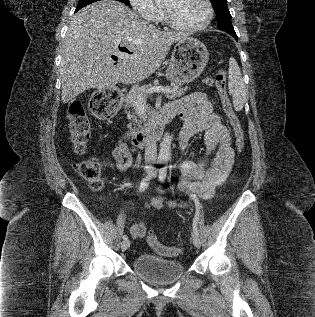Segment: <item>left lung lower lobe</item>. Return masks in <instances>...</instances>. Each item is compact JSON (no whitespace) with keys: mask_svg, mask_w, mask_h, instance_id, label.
Returning <instances> with one entry per match:
<instances>
[{"mask_svg":"<svg viewBox=\"0 0 315 317\" xmlns=\"http://www.w3.org/2000/svg\"><path fill=\"white\" fill-rule=\"evenodd\" d=\"M231 35L236 39V41L238 40L236 34H231Z\"/></svg>","mask_w":315,"mask_h":317,"instance_id":"1","label":"left lung lower lobe"}]
</instances>
